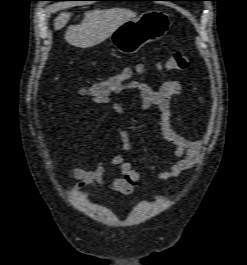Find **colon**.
Wrapping results in <instances>:
<instances>
[{
    "instance_id": "obj_1",
    "label": "colon",
    "mask_w": 247,
    "mask_h": 265,
    "mask_svg": "<svg viewBox=\"0 0 247 265\" xmlns=\"http://www.w3.org/2000/svg\"><path fill=\"white\" fill-rule=\"evenodd\" d=\"M189 66L190 59L186 52L181 49L174 51L171 57L162 65L164 69L180 71L186 70ZM136 70H140V68ZM136 70L126 67L105 80L81 88L79 93L94 104L107 105L111 101L112 95L121 91L122 86L133 77ZM127 149L126 147L125 150Z\"/></svg>"
}]
</instances>
